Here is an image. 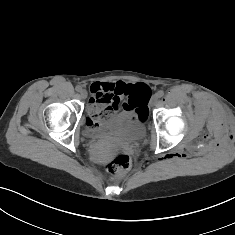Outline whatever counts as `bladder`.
<instances>
[{
  "instance_id": "1",
  "label": "bladder",
  "mask_w": 235,
  "mask_h": 235,
  "mask_svg": "<svg viewBox=\"0 0 235 235\" xmlns=\"http://www.w3.org/2000/svg\"><path fill=\"white\" fill-rule=\"evenodd\" d=\"M88 137L110 135L127 141H137L146 134V124L139 113H121L113 116L101 128L85 126Z\"/></svg>"
}]
</instances>
